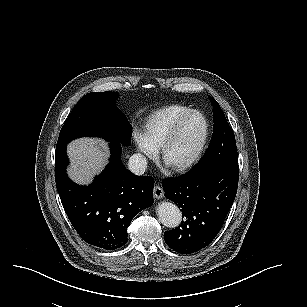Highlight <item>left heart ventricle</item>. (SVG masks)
<instances>
[{
  "mask_svg": "<svg viewBox=\"0 0 307 307\" xmlns=\"http://www.w3.org/2000/svg\"><path fill=\"white\" fill-rule=\"evenodd\" d=\"M197 116L191 114L186 123L180 126L174 133L176 139L166 152V157L175 161L189 159L197 149L201 137Z\"/></svg>",
  "mask_w": 307,
  "mask_h": 307,
  "instance_id": "obj_1",
  "label": "left heart ventricle"
}]
</instances>
